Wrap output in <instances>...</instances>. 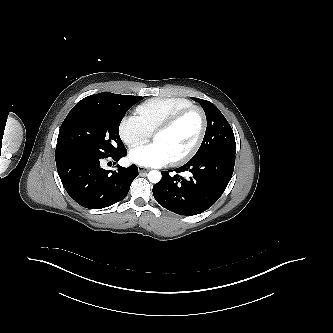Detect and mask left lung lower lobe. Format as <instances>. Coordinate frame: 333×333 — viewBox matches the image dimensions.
<instances>
[{"label":"left lung lower lobe","instance_id":"left-lung-lower-lobe-1","mask_svg":"<svg viewBox=\"0 0 333 333\" xmlns=\"http://www.w3.org/2000/svg\"><path fill=\"white\" fill-rule=\"evenodd\" d=\"M235 153L219 152L191 159L175 169L189 171V179L162 171V179L153 186L156 201L179 215H196L210 208L223 194L234 170Z\"/></svg>","mask_w":333,"mask_h":333}]
</instances>
